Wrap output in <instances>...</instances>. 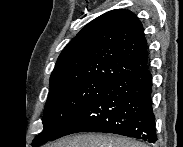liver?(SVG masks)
Listing matches in <instances>:
<instances>
[{
  "label": "liver",
  "instance_id": "6515ba94",
  "mask_svg": "<svg viewBox=\"0 0 183 147\" xmlns=\"http://www.w3.org/2000/svg\"><path fill=\"white\" fill-rule=\"evenodd\" d=\"M51 147H146L145 144L129 138L107 134H79L66 137Z\"/></svg>",
  "mask_w": 183,
  "mask_h": 147
}]
</instances>
